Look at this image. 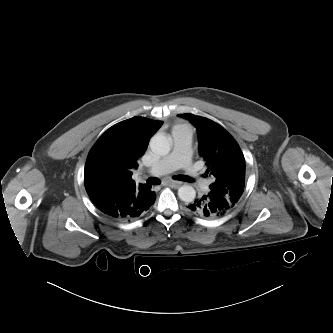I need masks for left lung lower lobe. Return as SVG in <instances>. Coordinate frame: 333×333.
Listing matches in <instances>:
<instances>
[{
  "label": "left lung lower lobe",
  "instance_id": "obj_1",
  "mask_svg": "<svg viewBox=\"0 0 333 333\" xmlns=\"http://www.w3.org/2000/svg\"><path fill=\"white\" fill-rule=\"evenodd\" d=\"M188 208L202 217L215 219L225 215L234 207L225 197L209 191L192 202Z\"/></svg>",
  "mask_w": 333,
  "mask_h": 333
}]
</instances>
